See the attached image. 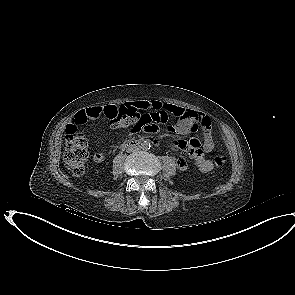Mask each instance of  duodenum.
Returning <instances> with one entry per match:
<instances>
[{"label": "duodenum", "instance_id": "410a0bca", "mask_svg": "<svg viewBox=\"0 0 295 295\" xmlns=\"http://www.w3.org/2000/svg\"><path fill=\"white\" fill-rule=\"evenodd\" d=\"M144 142H145L144 138H135L123 143L122 146L125 148H135L142 145Z\"/></svg>", "mask_w": 295, "mask_h": 295}]
</instances>
